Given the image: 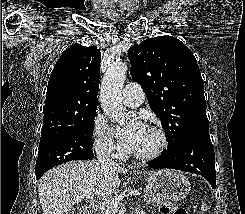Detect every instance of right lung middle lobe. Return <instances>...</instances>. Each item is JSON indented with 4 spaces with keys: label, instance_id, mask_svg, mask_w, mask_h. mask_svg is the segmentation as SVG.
I'll return each instance as SVG.
<instances>
[{
    "label": "right lung middle lobe",
    "instance_id": "1",
    "mask_svg": "<svg viewBox=\"0 0 245 214\" xmlns=\"http://www.w3.org/2000/svg\"><path fill=\"white\" fill-rule=\"evenodd\" d=\"M96 110L74 125H69L49 135H41L35 173L73 160L93 158L92 131Z\"/></svg>",
    "mask_w": 245,
    "mask_h": 214
}]
</instances>
